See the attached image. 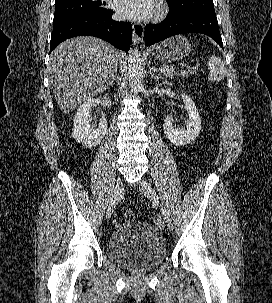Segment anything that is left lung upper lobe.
<instances>
[{"label": "left lung upper lobe", "instance_id": "obj_1", "mask_svg": "<svg viewBox=\"0 0 272 303\" xmlns=\"http://www.w3.org/2000/svg\"><path fill=\"white\" fill-rule=\"evenodd\" d=\"M170 13L178 16L189 12H214L213 0H167Z\"/></svg>", "mask_w": 272, "mask_h": 303}]
</instances>
